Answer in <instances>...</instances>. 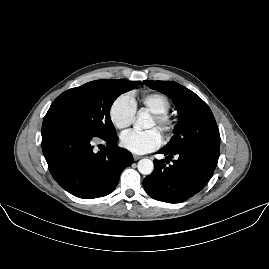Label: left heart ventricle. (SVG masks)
<instances>
[{
	"instance_id": "1",
	"label": "left heart ventricle",
	"mask_w": 269,
	"mask_h": 269,
	"mask_svg": "<svg viewBox=\"0 0 269 269\" xmlns=\"http://www.w3.org/2000/svg\"><path fill=\"white\" fill-rule=\"evenodd\" d=\"M148 130H156L161 135V137L164 138V130L161 128V126L154 117H152V120L148 126Z\"/></svg>"
}]
</instances>
